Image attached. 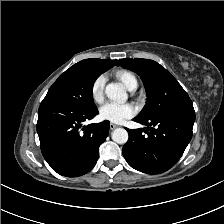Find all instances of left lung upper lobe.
<instances>
[{"mask_svg": "<svg viewBox=\"0 0 224 224\" xmlns=\"http://www.w3.org/2000/svg\"><path fill=\"white\" fill-rule=\"evenodd\" d=\"M118 66L137 73L147 93L146 105L137 116L150 120L166 112L192 107L193 104L186 91L163 66L150 59H120Z\"/></svg>", "mask_w": 224, "mask_h": 224, "instance_id": "left-lung-upper-lobe-1", "label": "left lung upper lobe"}]
</instances>
